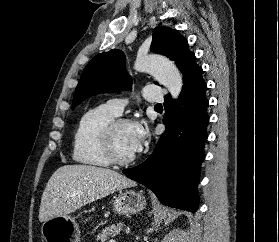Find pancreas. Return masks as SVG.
I'll list each match as a JSON object with an SVG mask.
<instances>
[{
    "instance_id": "obj_1",
    "label": "pancreas",
    "mask_w": 279,
    "mask_h": 242,
    "mask_svg": "<svg viewBox=\"0 0 279 242\" xmlns=\"http://www.w3.org/2000/svg\"><path fill=\"white\" fill-rule=\"evenodd\" d=\"M122 224H112L103 229L102 233L98 234L97 239L101 242L107 241L110 237H115L121 231Z\"/></svg>"
}]
</instances>
